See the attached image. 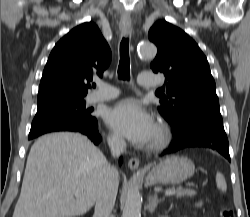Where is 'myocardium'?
<instances>
[{"mask_svg": "<svg viewBox=\"0 0 250 217\" xmlns=\"http://www.w3.org/2000/svg\"><path fill=\"white\" fill-rule=\"evenodd\" d=\"M169 138L170 132L167 125L163 122H159L156 125L154 138L148 144L147 149L149 151H159L167 145Z\"/></svg>", "mask_w": 250, "mask_h": 217, "instance_id": "f54148a6", "label": "myocardium"}]
</instances>
